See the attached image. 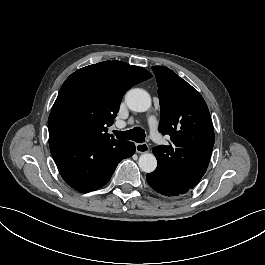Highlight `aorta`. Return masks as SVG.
<instances>
[{
	"label": "aorta",
	"instance_id": "762f6f07",
	"mask_svg": "<svg viewBox=\"0 0 265 265\" xmlns=\"http://www.w3.org/2000/svg\"><path fill=\"white\" fill-rule=\"evenodd\" d=\"M128 108L132 111L143 113L148 111L152 106L150 94L140 88L131 89L125 96ZM138 165L146 173L153 172L157 167L156 157L152 153H143L139 156Z\"/></svg>",
	"mask_w": 265,
	"mask_h": 265
}]
</instances>
